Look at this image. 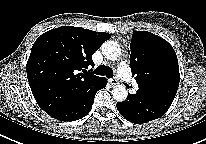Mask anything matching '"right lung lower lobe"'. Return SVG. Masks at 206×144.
I'll list each match as a JSON object with an SVG mask.
<instances>
[{"mask_svg": "<svg viewBox=\"0 0 206 144\" xmlns=\"http://www.w3.org/2000/svg\"><path fill=\"white\" fill-rule=\"evenodd\" d=\"M106 84V78H99L80 96L47 114L61 121H75L83 118L91 111L96 92L104 88Z\"/></svg>", "mask_w": 206, "mask_h": 144, "instance_id": "obj_1", "label": "right lung lower lobe"}]
</instances>
